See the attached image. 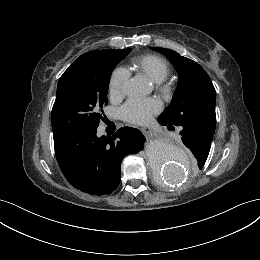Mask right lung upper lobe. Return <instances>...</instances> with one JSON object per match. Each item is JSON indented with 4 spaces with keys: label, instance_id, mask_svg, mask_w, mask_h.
Segmentation results:
<instances>
[{
    "label": "right lung upper lobe",
    "instance_id": "obj_1",
    "mask_svg": "<svg viewBox=\"0 0 260 260\" xmlns=\"http://www.w3.org/2000/svg\"><path fill=\"white\" fill-rule=\"evenodd\" d=\"M105 50H98V51H95V52H103ZM95 52H87V53H95Z\"/></svg>",
    "mask_w": 260,
    "mask_h": 260
}]
</instances>
